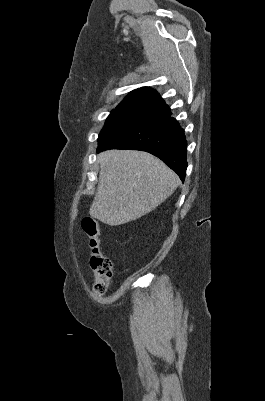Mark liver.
Wrapping results in <instances>:
<instances>
[{"label": "liver", "mask_w": 265, "mask_h": 401, "mask_svg": "<svg viewBox=\"0 0 265 401\" xmlns=\"http://www.w3.org/2000/svg\"><path fill=\"white\" fill-rule=\"evenodd\" d=\"M90 217L124 225L151 213L173 194L179 178L160 158L142 150H105Z\"/></svg>", "instance_id": "obj_1"}]
</instances>
